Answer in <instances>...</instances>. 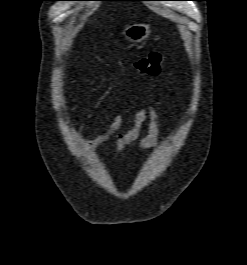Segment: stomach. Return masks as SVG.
<instances>
[{"label": "stomach", "instance_id": "1", "mask_svg": "<svg viewBox=\"0 0 247 265\" xmlns=\"http://www.w3.org/2000/svg\"><path fill=\"white\" fill-rule=\"evenodd\" d=\"M151 33V27L148 24H133L127 26L122 35L131 42H142L149 37Z\"/></svg>", "mask_w": 247, "mask_h": 265}]
</instances>
